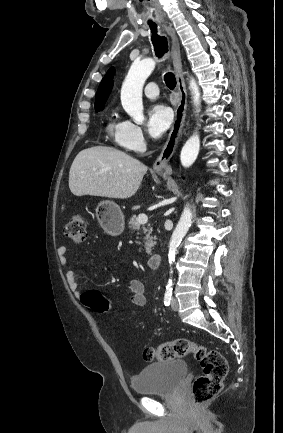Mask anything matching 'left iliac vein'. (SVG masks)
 I'll return each instance as SVG.
<instances>
[{"label": "left iliac vein", "mask_w": 283, "mask_h": 433, "mask_svg": "<svg viewBox=\"0 0 283 433\" xmlns=\"http://www.w3.org/2000/svg\"><path fill=\"white\" fill-rule=\"evenodd\" d=\"M171 307L174 311H177L179 309L178 301L176 298L172 299Z\"/></svg>", "instance_id": "obj_1"}]
</instances>
